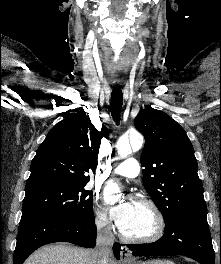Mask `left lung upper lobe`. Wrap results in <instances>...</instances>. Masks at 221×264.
Listing matches in <instances>:
<instances>
[{
    "label": "left lung upper lobe",
    "mask_w": 221,
    "mask_h": 264,
    "mask_svg": "<svg viewBox=\"0 0 221 264\" xmlns=\"http://www.w3.org/2000/svg\"><path fill=\"white\" fill-rule=\"evenodd\" d=\"M144 135L143 184L164 221L206 218L203 186L185 130L166 113L147 107L134 120Z\"/></svg>",
    "instance_id": "5c2ea615"
}]
</instances>
